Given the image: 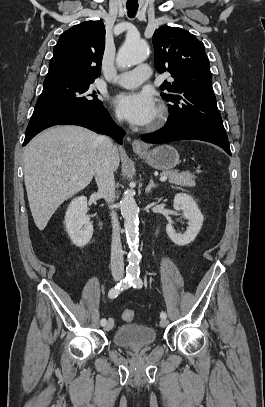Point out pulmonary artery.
<instances>
[{"label": "pulmonary artery", "instance_id": "obj_1", "mask_svg": "<svg viewBox=\"0 0 265 407\" xmlns=\"http://www.w3.org/2000/svg\"><path fill=\"white\" fill-rule=\"evenodd\" d=\"M151 76V69L148 65H141L137 68L120 73L114 82L125 88H134L148 80Z\"/></svg>", "mask_w": 265, "mask_h": 407}]
</instances>
